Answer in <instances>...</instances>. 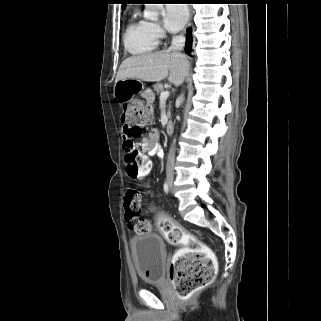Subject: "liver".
Returning <instances> with one entry per match:
<instances>
[{"instance_id":"liver-1","label":"liver","mask_w":321,"mask_h":321,"mask_svg":"<svg viewBox=\"0 0 321 321\" xmlns=\"http://www.w3.org/2000/svg\"><path fill=\"white\" fill-rule=\"evenodd\" d=\"M189 71L185 55L175 50L131 56L119 67L116 81L131 78L146 82H158L168 77L175 86L180 85Z\"/></svg>"}]
</instances>
